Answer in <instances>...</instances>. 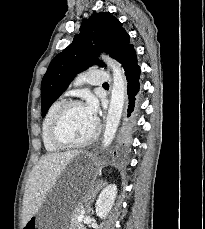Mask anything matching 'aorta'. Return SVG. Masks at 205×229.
<instances>
[{
	"label": "aorta",
	"mask_w": 205,
	"mask_h": 229,
	"mask_svg": "<svg viewBox=\"0 0 205 229\" xmlns=\"http://www.w3.org/2000/svg\"><path fill=\"white\" fill-rule=\"evenodd\" d=\"M102 59L106 62L113 74L111 101L102 140V145L104 148H106L113 141L122 116L126 91V80L120 65L115 60L108 56H102Z\"/></svg>",
	"instance_id": "obj_1"
}]
</instances>
